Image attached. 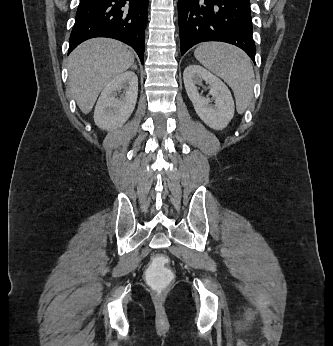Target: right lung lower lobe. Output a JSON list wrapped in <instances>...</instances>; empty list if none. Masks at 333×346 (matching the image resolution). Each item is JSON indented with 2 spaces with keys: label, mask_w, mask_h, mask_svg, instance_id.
<instances>
[{
  "label": "right lung lower lobe",
  "mask_w": 333,
  "mask_h": 346,
  "mask_svg": "<svg viewBox=\"0 0 333 346\" xmlns=\"http://www.w3.org/2000/svg\"><path fill=\"white\" fill-rule=\"evenodd\" d=\"M148 0H80L68 54L83 41L108 37L131 46L144 60Z\"/></svg>",
  "instance_id": "right-lung-lower-lobe-1"
}]
</instances>
